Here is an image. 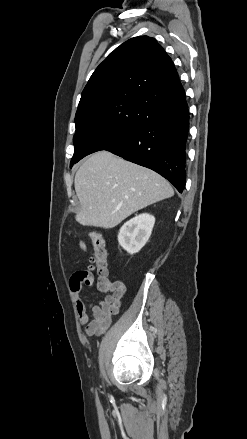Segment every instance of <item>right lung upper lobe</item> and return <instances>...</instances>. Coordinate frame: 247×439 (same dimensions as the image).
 Wrapping results in <instances>:
<instances>
[{
  "instance_id": "cb5924a9",
  "label": "right lung upper lobe",
  "mask_w": 247,
  "mask_h": 439,
  "mask_svg": "<svg viewBox=\"0 0 247 439\" xmlns=\"http://www.w3.org/2000/svg\"><path fill=\"white\" fill-rule=\"evenodd\" d=\"M184 93L171 58L148 36L116 48L85 86L77 113L113 100L137 102L148 109Z\"/></svg>"
}]
</instances>
